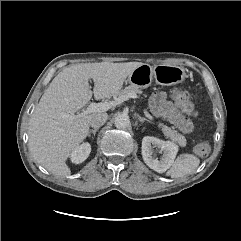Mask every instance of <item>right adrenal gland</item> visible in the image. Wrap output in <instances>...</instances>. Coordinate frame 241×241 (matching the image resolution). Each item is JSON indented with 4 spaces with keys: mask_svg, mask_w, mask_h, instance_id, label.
I'll return each instance as SVG.
<instances>
[{
    "mask_svg": "<svg viewBox=\"0 0 241 241\" xmlns=\"http://www.w3.org/2000/svg\"><path fill=\"white\" fill-rule=\"evenodd\" d=\"M98 131V128H95L93 130H90L87 134V136H91V134H93L95 136L96 132Z\"/></svg>",
    "mask_w": 241,
    "mask_h": 241,
    "instance_id": "1",
    "label": "right adrenal gland"
}]
</instances>
